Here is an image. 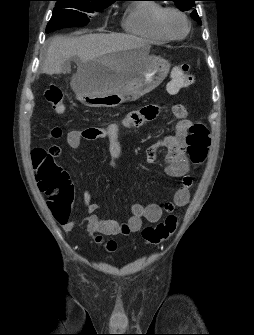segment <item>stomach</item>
Returning a JSON list of instances; mask_svg holds the SVG:
<instances>
[{"label": "stomach", "instance_id": "obj_1", "mask_svg": "<svg viewBox=\"0 0 254 335\" xmlns=\"http://www.w3.org/2000/svg\"><path fill=\"white\" fill-rule=\"evenodd\" d=\"M141 64H146L147 69L136 74L120 90L107 92L102 89L104 81H99L98 76ZM87 68L90 77L75 81L77 99L92 108H114L126 101H135L155 89L167 76L170 64L161 57L149 55V47L140 45L111 54L106 59H96Z\"/></svg>", "mask_w": 254, "mask_h": 335}]
</instances>
